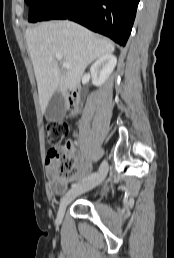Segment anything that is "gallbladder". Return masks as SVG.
Returning <instances> with one entry per match:
<instances>
[{
    "mask_svg": "<svg viewBox=\"0 0 174 258\" xmlns=\"http://www.w3.org/2000/svg\"><path fill=\"white\" fill-rule=\"evenodd\" d=\"M66 113L65 99L60 92H55L49 100L45 110V117L48 121L61 120Z\"/></svg>",
    "mask_w": 174,
    "mask_h": 258,
    "instance_id": "1",
    "label": "gallbladder"
}]
</instances>
